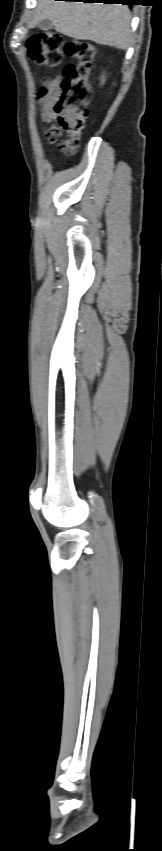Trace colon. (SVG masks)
Returning <instances> with one entry per match:
<instances>
[{
    "instance_id": "5ec220e1",
    "label": "colon",
    "mask_w": 162,
    "mask_h": 851,
    "mask_svg": "<svg viewBox=\"0 0 162 851\" xmlns=\"http://www.w3.org/2000/svg\"><path fill=\"white\" fill-rule=\"evenodd\" d=\"M26 51L32 60L47 66L60 65L65 55L76 60L75 65L64 69L61 93L54 112L59 129L77 145L89 113L88 81L96 47L87 41L67 39L58 32L46 31L31 35L26 42Z\"/></svg>"
}]
</instances>
